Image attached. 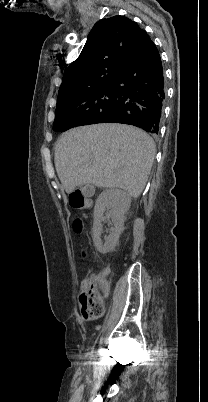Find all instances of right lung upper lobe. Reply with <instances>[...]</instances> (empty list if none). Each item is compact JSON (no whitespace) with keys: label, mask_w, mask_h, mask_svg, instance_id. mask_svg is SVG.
<instances>
[{"label":"right lung upper lobe","mask_w":208,"mask_h":402,"mask_svg":"<svg viewBox=\"0 0 208 402\" xmlns=\"http://www.w3.org/2000/svg\"><path fill=\"white\" fill-rule=\"evenodd\" d=\"M146 36L145 30L124 16L97 22L79 57L66 68L58 95L114 81Z\"/></svg>","instance_id":"obj_1"}]
</instances>
